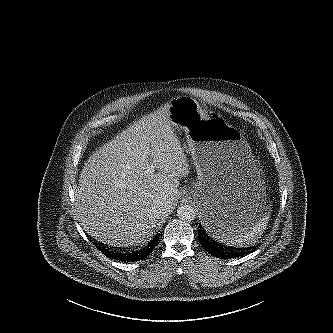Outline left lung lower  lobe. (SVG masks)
<instances>
[{
  "mask_svg": "<svg viewBox=\"0 0 333 333\" xmlns=\"http://www.w3.org/2000/svg\"><path fill=\"white\" fill-rule=\"evenodd\" d=\"M198 238L204 249L209 254L221 259L243 256L248 254V250H250L249 248L234 249L223 245L222 243L215 240L216 238H213L211 235H209V233L201 225L198 228Z\"/></svg>",
  "mask_w": 333,
  "mask_h": 333,
  "instance_id": "0a47b994",
  "label": "left lung lower lobe"
}]
</instances>
